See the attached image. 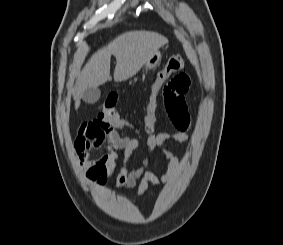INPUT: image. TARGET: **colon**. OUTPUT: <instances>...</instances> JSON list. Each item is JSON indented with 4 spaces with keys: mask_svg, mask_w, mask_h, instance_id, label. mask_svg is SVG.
Returning a JSON list of instances; mask_svg holds the SVG:
<instances>
[{
    "mask_svg": "<svg viewBox=\"0 0 283 245\" xmlns=\"http://www.w3.org/2000/svg\"><path fill=\"white\" fill-rule=\"evenodd\" d=\"M186 65L185 59L181 55L172 56L164 68L160 70L151 83L149 102L146 110L145 123L147 130L151 131L155 122V109L157 98L163 84L175 73L180 72ZM117 95L110 93L100 107L98 118L116 128H129V123L123 119L116 110Z\"/></svg>",
    "mask_w": 283,
    "mask_h": 245,
    "instance_id": "5ec220e1",
    "label": "colon"
}]
</instances>
